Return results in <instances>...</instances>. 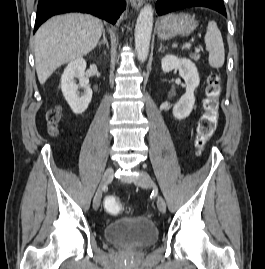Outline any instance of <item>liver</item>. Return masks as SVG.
I'll return each instance as SVG.
<instances>
[{"label":"liver","mask_w":265,"mask_h":269,"mask_svg":"<svg viewBox=\"0 0 265 269\" xmlns=\"http://www.w3.org/2000/svg\"><path fill=\"white\" fill-rule=\"evenodd\" d=\"M100 19L87 14L70 13L46 21L34 40L35 66L40 84H44L61 65L91 52L102 33Z\"/></svg>","instance_id":"6515ba94"}]
</instances>
